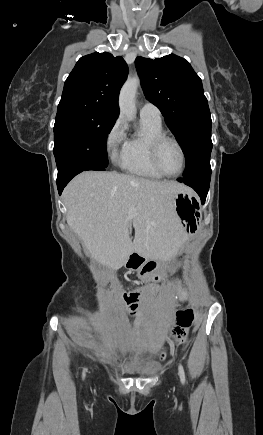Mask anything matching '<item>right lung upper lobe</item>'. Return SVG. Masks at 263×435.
Masks as SVG:
<instances>
[{"label": "right lung upper lobe", "instance_id": "right-lung-upper-lobe-1", "mask_svg": "<svg viewBox=\"0 0 263 435\" xmlns=\"http://www.w3.org/2000/svg\"><path fill=\"white\" fill-rule=\"evenodd\" d=\"M127 74V64L120 56L95 52L81 57L65 81L58 107H92L117 118L118 96Z\"/></svg>", "mask_w": 263, "mask_h": 435}]
</instances>
